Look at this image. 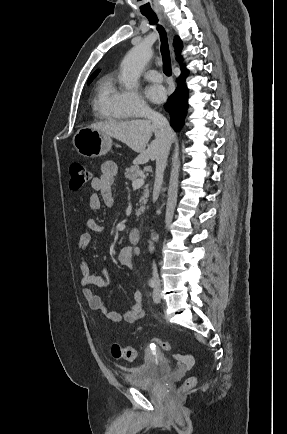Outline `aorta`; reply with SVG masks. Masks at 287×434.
<instances>
[{
    "label": "aorta",
    "instance_id": "aorta-1",
    "mask_svg": "<svg viewBox=\"0 0 287 434\" xmlns=\"http://www.w3.org/2000/svg\"><path fill=\"white\" fill-rule=\"evenodd\" d=\"M152 55L151 48L140 44L134 46L124 57L121 64V81L127 89L137 85L139 76Z\"/></svg>",
    "mask_w": 287,
    "mask_h": 434
}]
</instances>
